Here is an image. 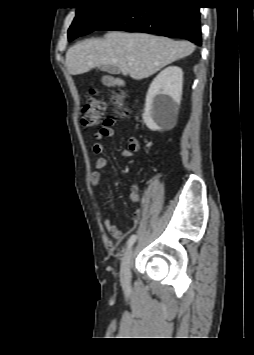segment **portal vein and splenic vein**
<instances>
[{"label": "portal vein and splenic vein", "instance_id": "18ae733b", "mask_svg": "<svg viewBox=\"0 0 254 355\" xmlns=\"http://www.w3.org/2000/svg\"><path fill=\"white\" fill-rule=\"evenodd\" d=\"M128 60H129V62L131 63L132 59H128Z\"/></svg>", "mask_w": 254, "mask_h": 355}]
</instances>
